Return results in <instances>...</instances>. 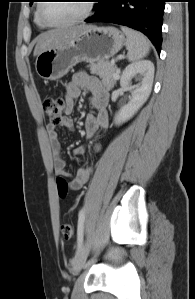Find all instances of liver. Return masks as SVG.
<instances>
[{
	"instance_id": "liver-1",
	"label": "liver",
	"mask_w": 195,
	"mask_h": 299,
	"mask_svg": "<svg viewBox=\"0 0 195 299\" xmlns=\"http://www.w3.org/2000/svg\"><path fill=\"white\" fill-rule=\"evenodd\" d=\"M87 26H74L68 28H59L41 34L37 38V44L34 49V56L40 53L61 45L70 39L76 37Z\"/></svg>"
}]
</instances>
